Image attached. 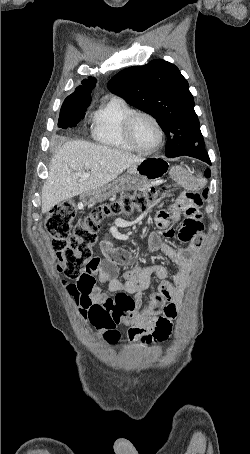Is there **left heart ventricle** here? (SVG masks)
<instances>
[{"instance_id": "obj_1", "label": "left heart ventricle", "mask_w": 250, "mask_h": 454, "mask_svg": "<svg viewBox=\"0 0 250 454\" xmlns=\"http://www.w3.org/2000/svg\"><path fill=\"white\" fill-rule=\"evenodd\" d=\"M133 133L136 143L143 149H151L158 143V130L148 118H138L134 124Z\"/></svg>"}]
</instances>
